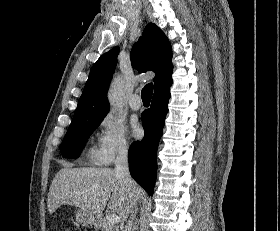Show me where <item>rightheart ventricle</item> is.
Returning <instances> with one entry per match:
<instances>
[{"instance_id": "1", "label": "right heart ventricle", "mask_w": 280, "mask_h": 231, "mask_svg": "<svg viewBox=\"0 0 280 231\" xmlns=\"http://www.w3.org/2000/svg\"><path fill=\"white\" fill-rule=\"evenodd\" d=\"M88 158H90L92 161H96V159H95V150L94 149H90L88 151Z\"/></svg>"}]
</instances>
